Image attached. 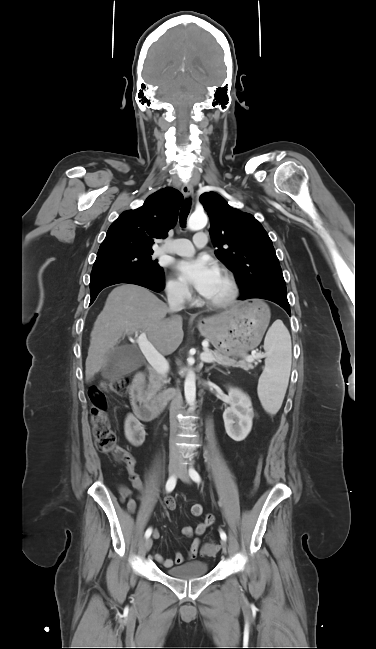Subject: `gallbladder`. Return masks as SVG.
Returning a JSON list of instances; mask_svg holds the SVG:
<instances>
[{"label": "gallbladder", "mask_w": 376, "mask_h": 649, "mask_svg": "<svg viewBox=\"0 0 376 649\" xmlns=\"http://www.w3.org/2000/svg\"><path fill=\"white\" fill-rule=\"evenodd\" d=\"M106 358V366L101 370V375L105 379L117 378L134 370L137 366V353L127 345L115 346Z\"/></svg>", "instance_id": "gallbladder-1"}]
</instances>
